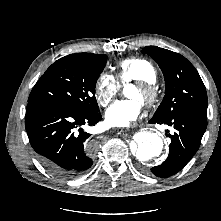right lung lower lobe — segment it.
Listing matches in <instances>:
<instances>
[{"instance_id": "obj_1", "label": "right lung lower lobe", "mask_w": 221, "mask_h": 221, "mask_svg": "<svg viewBox=\"0 0 221 221\" xmlns=\"http://www.w3.org/2000/svg\"><path fill=\"white\" fill-rule=\"evenodd\" d=\"M101 114L86 115L53 104L30 101L25 127L29 142L40 163L51 174L70 179L83 174L92 166L95 144L82 133V125L93 126ZM79 129V134L76 132Z\"/></svg>"}]
</instances>
